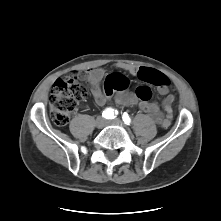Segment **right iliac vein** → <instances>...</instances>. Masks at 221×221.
Returning <instances> with one entry per match:
<instances>
[{
  "mask_svg": "<svg viewBox=\"0 0 221 221\" xmlns=\"http://www.w3.org/2000/svg\"><path fill=\"white\" fill-rule=\"evenodd\" d=\"M95 126L99 129L105 126V119L101 116H98L95 121Z\"/></svg>",
  "mask_w": 221,
  "mask_h": 221,
  "instance_id": "1",
  "label": "right iliac vein"
}]
</instances>
